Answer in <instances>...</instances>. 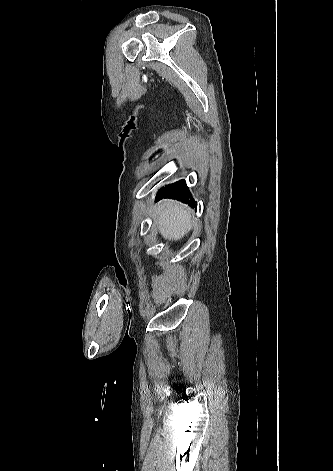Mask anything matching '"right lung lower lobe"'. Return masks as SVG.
Listing matches in <instances>:
<instances>
[{
  "mask_svg": "<svg viewBox=\"0 0 333 471\" xmlns=\"http://www.w3.org/2000/svg\"><path fill=\"white\" fill-rule=\"evenodd\" d=\"M162 198H173L189 204L191 207L196 208V204L189 192L188 187L184 180H180L174 184L162 188L157 195L156 201Z\"/></svg>",
  "mask_w": 333,
  "mask_h": 471,
  "instance_id": "right-lung-lower-lobe-1",
  "label": "right lung lower lobe"
}]
</instances>
